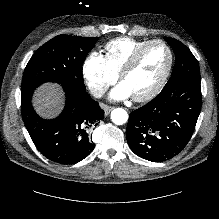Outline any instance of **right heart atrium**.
Segmentation results:
<instances>
[{"label":"right heart atrium","mask_w":219,"mask_h":219,"mask_svg":"<svg viewBox=\"0 0 219 219\" xmlns=\"http://www.w3.org/2000/svg\"><path fill=\"white\" fill-rule=\"evenodd\" d=\"M82 73L88 88L95 96L103 95L117 77L105 56L98 51H92L87 55Z\"/></svg>","instance_id":"1"}]
</instances>
